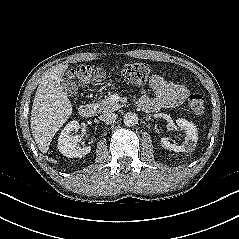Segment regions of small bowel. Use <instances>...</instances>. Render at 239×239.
<instances>
[{
  "label": "small bowel",
  "mask_w": 239,
  "mask_h": 239,
  "mask_svg": "<svg viewBox=\"0 0 239 239\" xmlns=\"http://www.w3.org/2000/svg\"><path fill=\"white\" fill-rule=\"evenodd\" d=\"M149 86L155 96L150 97L142 93L139 100L140 106L147 111L176 106L182 103L188 95V89L184 85L170 82L158 74L151 76Z\"/></svg>",
  "instance_id": "c3829d8e"
}]
</instances>
